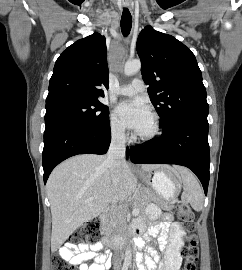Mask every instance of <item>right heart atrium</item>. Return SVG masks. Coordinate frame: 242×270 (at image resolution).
<instances>
[{
    "instance_id": "d8ad5b80",
    "label": "right heart atrium",
    "mask_w": 242,
    "mask_h": 270,
    "mask_svg": "<svg viewBox=\"0 0 242 270\" xmlns=\"http://www.w3.org/2000/svg\"><path fill=\"white\" fill-rule=\"evenodd\" d=\"M109 129L112 137L115 140L122 141L126 137V130L121 121L114 115H110Z\"/></svg>"
}]
</instances>
